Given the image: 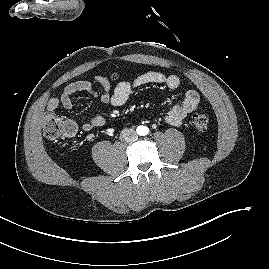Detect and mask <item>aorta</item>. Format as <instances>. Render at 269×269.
<instances>
[{
	"label": "aorta",
	"instance_id": "1",
	"mask_svg": "<svg viewBox=\"0 0 269 269\" xmlns=\"http://www.w3.org/2000/svg\"><path fill=\"white\" fill-rule=\"evenodd\" d=\"M137 133L139 135H146L147 134V127H145V126H139L137 128Z\"/></svg>",
	"mask_w": 269,
	"mask_h": 269
}]
</instances>
